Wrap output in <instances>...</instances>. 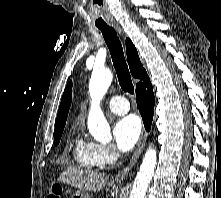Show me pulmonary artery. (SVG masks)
I'll list each match as a JSON object with an SVG mask.
<instances>
[{
    "label": "pulmonary artery",
    "instance_id": "e3ab8cb5",
    "mask_svg": "<svg viewBox=\"0 0 221 198\" xmlns=\"http://www.w3.org/2000/svg\"><path fill=\"white\" fill-rule=\"evenodd\" d=\"M108 106L110 110L118 115H124L129 111V103L123 96H114L109 99Z\"/></svg>",
    "mask_w": 221,
    "mask_h": 198
}]
</instances>
